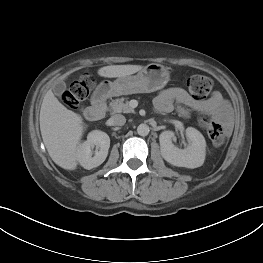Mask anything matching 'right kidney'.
I'll return each instance as SVG.
<instances>
[{
    "label": "right kidney",
    "instance_id": "right-kidney-1",
    "mask_svg": "<svg viewBox=\"0 0 263 263\" xmlns=\"http://www.w3.org/2000/svg\"><path fill=\"white\" fill-rule=\"evenodd\" d=\"M95 146L97 149L95 155L92 156V149ZM109 147V136L105 132L94 130L88 134L87 140L79 146L77 160L87 170L98 167L105 161Z\"/></svg>",
    "mask_w": 263,
    "mask_h": 263
}]
</instances>
